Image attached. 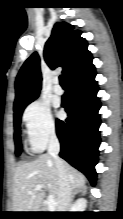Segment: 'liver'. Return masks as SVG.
I'll use <instances>...</instances> for the list:
<instances>
[{"mask_svg":"<svg viewBox=\"0 0 123 219\" xmlns=\"http://www.w3.org/2000/svg\"><path fill=\"white\" fill-rule=\"evenodd\" d=\"M72 189L85 186V176L63 161ZM47 188L50 195L58 200L59 182L54 159L49 154H42L31 162L18 166L14 173L13 210L14 212H38L45 197V191L39 190L33 194L28 191L37 185Z\"/></svg>","mask_w":123,"mask_h":219,"instance_id":"1","label":"liver"}]
</instances>
